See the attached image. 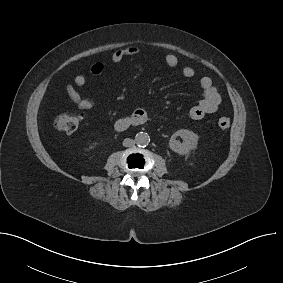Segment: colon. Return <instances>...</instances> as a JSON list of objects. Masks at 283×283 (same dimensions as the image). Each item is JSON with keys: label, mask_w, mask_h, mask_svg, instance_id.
<instances>
[{"label": "colon", "mask_w": 283, "mask_h": 283, "mask_svg": "<svg viewBox=\"0 0 283 283\" xmlns=\"http://www.w3.org/2000/svg\"><path fill=\"white\" fill-rule=\"evenodd\" d=\"M81 117L75 113L64 112L57 115L54 119L55 128L65 134L74 133L80 124ZM231 125V119L228 116H222L218 119V126L221 129H228Z\"/></svg>", "instance_id": "colon-1"}]
</instances>
